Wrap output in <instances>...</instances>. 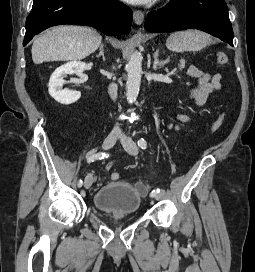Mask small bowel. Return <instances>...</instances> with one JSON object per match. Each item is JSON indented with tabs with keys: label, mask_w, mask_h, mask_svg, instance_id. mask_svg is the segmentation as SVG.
Masks as SVG:
<instances>
[{
	"label": "small bowel",
	"mask_w": 255,
	"mask_h": 272,
	"mask_svg": "<svg viewBox=\"0 0 255 272\" xmlns=\"http://www.w3.org/2000/svg\"><path fill=\"white\" fill-rule=\"evenodd\" d=\"M188 74L196 79V86L190 91L189 98L197 107L205 105L211 96L221 88L220 74H209L195 66L188 69ZM177 119L181 123H186L189 120L186 115H178ZM170 126L178 129L177 124H171Z\"/></svg>",
	"instance_id": "c3829d8e"
}]
</instances>
